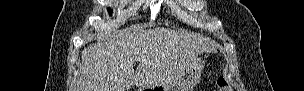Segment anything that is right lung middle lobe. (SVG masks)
I'll return each mask as SVG.
<instances>
[{
  "mask_svg": "<svg viewBox=\"0 0 304 91\" xmlns=\"http://www.w3.org/2000/svg\"><path fill=\"white\" fill-rule=\"evenodd\" d=\"M108 11H109L110 14L112 13V10H111V9H109Z\"/></svg>",
  "mask_w": 304,
  "mask_h": 91,
  "instance_id": "1",
  "label": "right lung middle lobe"
}]
</instances>
